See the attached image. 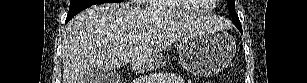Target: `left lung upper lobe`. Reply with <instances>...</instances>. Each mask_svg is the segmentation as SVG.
Segmentation results:
<instances>
[{
    "instance_id": "left-lung-upper-lobe-1",
    "label": "left lung upper lobe",
    "mask_w": 307,
    "mask_h": 83,
    "mask_svg": "<svg viewBox=\"0 0 307 83\" xmlns=\"http://www.w3.org/2000/svg\"><path fill=\"white\" fill-rule=\"evenodd\" d=\"M228 2V8L230 12V16L232 17V23L238 28L242 27L241 23L239 21L238 15L235 11V0H227Z\"/></svg>"
}]
</instances>
